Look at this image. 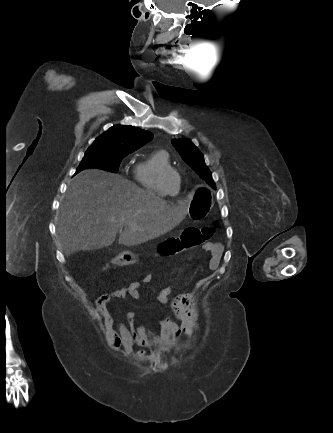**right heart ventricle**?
Wrapping results in <instances>:
<instances>
[{
    "mask_svg": "<svg viewBox=\"0 0 333 433\" xmlns=\"http://www.w3.org/2000/svg\"><path fill=\"white\" fill-rule=\"evenodd\" d=\"M171 167L168 153L164 150L154 151L148 158L140 160L134 167V178L136 182L148 192L159 196H167L159 184V174L162 169ZM180 192V179L177 182V190L173 196Z\"/></svg>",
    "mask_w": 333,
    "mask_h": 433,
    "instance_id": "obj_1",
    "label": "right heart ventricle"
}]
</instances>
